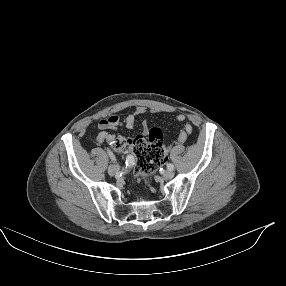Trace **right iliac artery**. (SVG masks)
<instances>
[{
  "mask_svg": "<svg viewBox=\"0 0 286 286\" xmlns=\"http://www.w3.org/2000/svg\"><path fill=\"white\" fill-rule=\"evenodd\" d=\"M106 150H107V153L109 154V156H110V158H111V161H112L113 163H115V162H116V159H115L113 153L111 152V150H110L109 148H106ZM125 163H126L127 166L133 165V164H134V158H133V156H132V155L127 156Z\"/></svg>",
  "mask_w": 286,
  "mask_h": 286,
  "instance_id": "1",
  "label": "right iliac artery"
}]
</instances>
